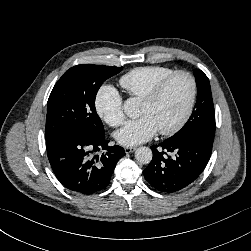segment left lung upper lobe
<instances>
[{
	"label": "left lung upper lobe",
	"mask_w": 251,
	"mask_h": 251,
	"mask_svg": "<svg viewBox=\"0 0 251 251\" xmlns=\"http://www.w3.org/2000/svg\"><path fill=\"white\" fill-rule=\"evenodd\" d=\"M197 84V102L187 123L167 140H176L189 136H202L213 141L215 135V111L209 79L199 69L194 70Z\"/></svg>",
	"instance_id": "obj_1"
}]
</instances>
